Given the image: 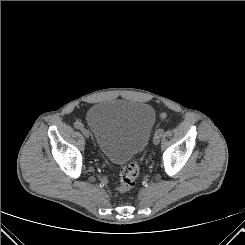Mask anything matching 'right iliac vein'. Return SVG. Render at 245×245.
<instances>
[{
  "instance_id": "right-iliac-vein-1",
  "label": "right iliac vein",
  "mask_w": 245,
  "mask_h": 245,
  "mask_svg": "<svg viewBox=\"0 0 245 245\" xmlns=\"http://www.w3.org/2000/svg\"><path fill=\"white\" fill-rule=\"evenodd\" d=\"M82 134L86 137L89 138L90 137V133L86 128H82L81 129Z\"/></svg>"
}]
</instances>
